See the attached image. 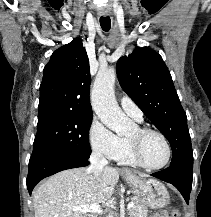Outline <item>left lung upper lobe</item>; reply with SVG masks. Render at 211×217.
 I'll return each instance as SVG.
<instances>
[{"instance_id": "left-lung-upper-lobe-1", "label": "left lung upper lobe", "mask_w": 211, "mask_h": 217, "mask_svg": "<svg viewBox=\"0 0 211 217\" xmlns=\"http://www.w3.org/2000/svg\"><path fill=\"white\" fill-rule=\"evenodd\" d=\"M116 70L123 90L168 139L173 155L170 166L193 167L186 113L162 57L137 47L118 60Z\"/></svg>"}]
</instances>
